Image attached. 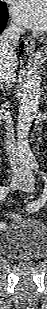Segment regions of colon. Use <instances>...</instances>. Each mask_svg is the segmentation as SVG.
<instances>
[{
    "label": "colon",
    "instance_id": "1",
    "mask_svg": "<svg viewBox=\"0 0 47 309\" xmlns=\"http://www.w3.org/2000/svg\"><path fill=\"white\" fill-rule=\"evenodd\" d=\"M8 216L12 220H15V219H17L19 217V215L17 213H14V212H9Z\"/></svg>",
    "mask_w": 47,
    "mask_h": 309
}]
</instances>
